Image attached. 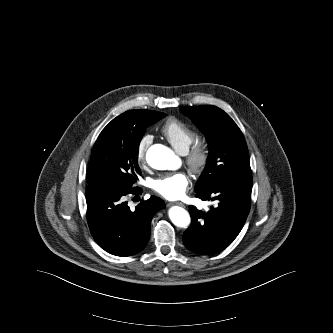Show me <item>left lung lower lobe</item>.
Here are the masks:
<instances>
[{
    "instance_id": "0a47b994",
    "label": "left lung lower lobe",
    "mask_w": 333,
    "mask_h": 333,
    "mask_svg": "<svg viewBox=\"0 0 333 333\" xmlns=\"http://www.w3.org/2000/svg\"><path fill=\"white\" fill-rule=\"evenodd\" d=\"M252 176L245 175L196 192V197L218 204L208 212L190 205V227L183 234L185 246L198 254H215L228 247L237 237L250 211Z\"/></svg>"
}]
</instances>
